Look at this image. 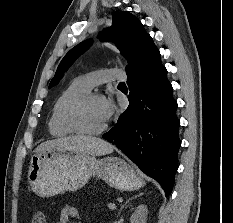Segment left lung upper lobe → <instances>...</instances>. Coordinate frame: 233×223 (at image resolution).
Here are the masks:
<instances>
[{
	"label": "left lung upper lobe",
	"instance_id": "left-lung-upper-lobe-1",
	"mask_svg": "<svg viewBox=\"0 0 233 223\" xmlns=\"http://www.w3.org/2000/svg\"><path fill=\"white\" fill-rule=\"evenodd\" d=\"M103 41L113 40L122 55L127 59L128 73L141 59L146 48L153 43L152 38L134 15L129 12H118L113 15L112 26L100 34ZM91 45V40L81 42L71 49L62 59L49 88L56 85L63 74L74 63V61Z\"/></svg>",
	"mask_w": 233,
	"mask_h": 223
}]
</instances>
